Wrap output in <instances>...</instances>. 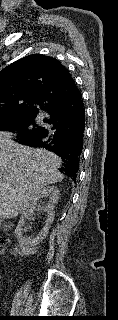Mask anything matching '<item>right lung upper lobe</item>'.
I'll return each instance as SVG.
<instances>
[{"label":"right lung upper lobe","mask_w":118,"mask_h":320,"mask_svg":"<svg viewBox=\"0 0 118 320\" xmlns=\"http://www.w3.org/2000/svg\"><path fill=\"white\" fill-rule=\"evenodd\" d=\"M80 94L68 70L55 58L33 54L0 72V119L36 117Z\"/></svg>","instance_id":"1"}]
</instances>
